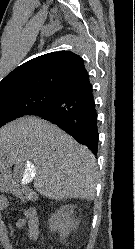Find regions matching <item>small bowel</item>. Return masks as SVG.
<instances>
[{
    "instance_id": "small-bowel-1",
    "label": "small bowel",
    "mask_w": 135,
    "mask_h": 249,
    "mask_svg": "<svg viewBox=\"0 0 135 249\" xmlns=\"http://www.w3.org/2000/svg\"><path fill=\"white\" fill-rule=\"evenodd\" d=\"M10 207V202L4 195H0V211ZM23 218L16 221V226L18 228L25 227L26 236L31 240H37L38 238V228H39V218L38 211L35 207H26L22 209ZM0 244L3 249H13L9 243L7 228L2 220V215L0 213Z\"/></svg>"
}]
</instances>
